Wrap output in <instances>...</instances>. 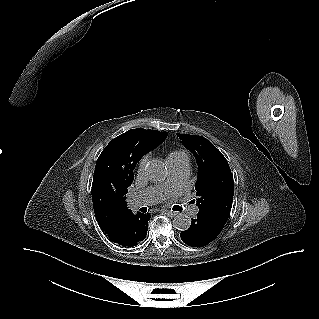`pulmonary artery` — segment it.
<instances>
[{
  "mask_svg": "<svg viewBox=\"0 0 319 319\" xmlns=\"http://www.w3.org/2000/svg\"><path fill=\"white\" fill-rule=\"evenodd\" d=\"M171 170V181L175 187L181 188L185 185L189 173L190 165L188 157L169 163ZM166 190L163 188H150L133 195L130 198V206L132 208H140L159 202L166 195ZM196 211V210H195Z\"/></svg>",
  "mask_w": 319,
  "mask_h": 319,
  "instance_id": "e3ab8cb5",
  "label": "pulmonary artery"
}]
</instances>
